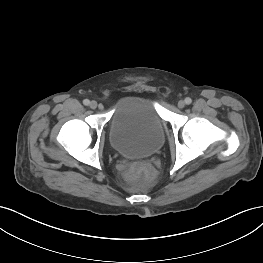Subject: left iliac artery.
I'll list each match as a JSON object with an SVG mask.
<instances>
[{
  "label": "left iliac artery",
  "mask_w": 263,
  "mask_h": 263,
  "mask_svg": "<svg viewBox=\"0 0 263 263\" xmlns=\"http://www.w3.org/2000/svg\"><path fill=\"white\" fill-rule=\"evenodd\" d=\"M191 102H192V99L191 98H189V97H187V98H185V103L186 104H191Z\"/></svg>",
  "instance_id": "1"
}]
</instances>
